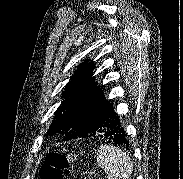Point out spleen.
<instances>
[{
    "label": "spleen",
    "mask_w": 183,
    "mask_h": 179,
    "mask_svg": "<svg viewBox=\"0 0 183 179\" xmlns=\"http://www.w3.org/2000/svg\"><path fill=\"white\" fill-rule=\"evenodd\" d=\"M96 163L107 171L108 179H129L133 172L129 155L113 145L99 147Z\"/></svg>",
    "instance_id": "spleen-1"
}]
</instances>
